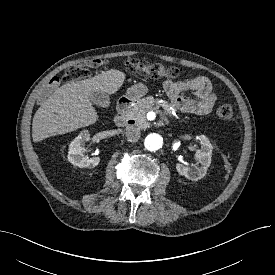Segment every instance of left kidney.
<instances>
[{
	"label": "left kidney",
	"mask_w": 275,
	"mask_h": 275,
	"mask_svg": "<svg viewBox=\"0 0 275 275\" xmlns=\"http://www.w3.org/2000/svg\"><path fill=\"white\" fill-rule=\"evenodd\" d=\"M199 140L201 143V149L197 150L195 160L200 164V166L188 167L180 163L176 164L177 172L192 181H197L203 178L211 164L213 146L209 139L204 135H200Z\"/></svg>",
	"instance_id": "obj_1"
}]
</instances>
